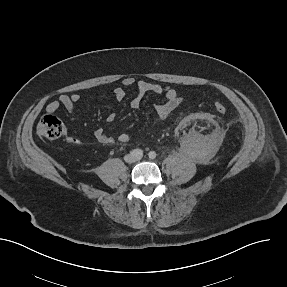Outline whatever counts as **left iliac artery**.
<instances>
[{
    "mask_svg": "<svg viewBox=\"0 0 287 287\" xmlns=\"http://www.w3.org/2000/svg\"><path fill=\"white\" fill-rule=\"evenodd\" d=\"M148 155H149V158H151V159H154L157 156L156 152H154V151H150Z\"/></svg>",
    "mask_w": 287,
    "mask_h": 287,
    "instance_id": "1",
    "label": "left iliac artery"
}]
</instances>
